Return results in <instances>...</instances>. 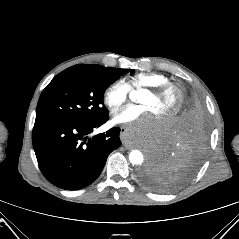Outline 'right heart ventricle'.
Wrapping results in <instances>:
<instances>
[{
	"label": "right heart ventricle",
	"mask_w": 239,
	"mask_h": 239,
	"mask_svg": "<svg viewBox=\"0 0 239 239\" xmlns=\"http://www.w3.org/2000/svg\"><path fill=\"white\" fill-rule=\"evenodd\" d=\"M169 82L170 80L167 76L160 73L151 72V73H138L132 76L129 79L128 84L130 88L142 89L163 85Z\"/></svg>",
	"instance_id": "right-heart-ventricle-1"
}]
</instances>
